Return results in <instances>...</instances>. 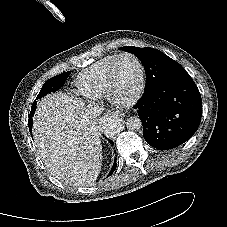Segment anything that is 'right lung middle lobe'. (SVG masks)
Instances as JSON below:
<instances>
[{
    "instance_id": "1",
    "label": "right lung middle lobe",
    "mask_w": 227,
    "mask_h": 227,
    "mask_svg": "<svg viewBox=\"0 0 227 227\" xmlns=\"http://www.w3.org/2000/svg\"><path fill=\"white\" fill-rule=\"evenodd\" d=\"M70 73H71V71H67V72H64V73L57 75V76L49 79L48 81H46L44 83V85L42 86V89L40 90L36 99H40L41 97L45 96L48 93L57 91L65 83V81L68 78V75ZM35 109H36V100L34 101V103L32 105L30 117L28 120V127H29L30 132L32 131L31 119L35 112Z\"/></svg>"
}]
</instances>
